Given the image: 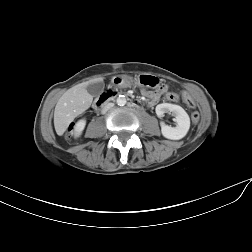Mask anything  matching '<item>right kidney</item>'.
Returning <instances> with one entry per match:
<instances>
[{
	"label": "right kidney",
	"mask_w": 252,
	"mask_h": 252,
	"mask_svg": "<svg viewBox=\"0 0 252 252\" xmlns=\"http://www.w3.org/2000/svg\"><path fill=\"white\" fill-rule=\"evenodd\" d=\"M85 125H86L85 119H81L75 124V127H74V136L75 137H79L82 134V131L84 130Z\"/></svg>",
	"instance_id": "obj_1"
}]
</instances>
